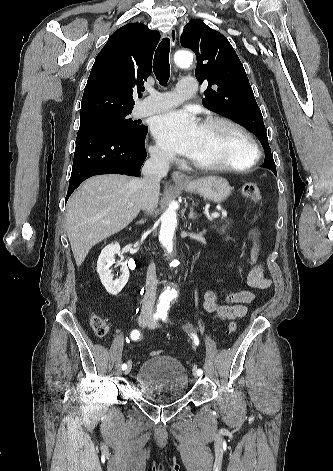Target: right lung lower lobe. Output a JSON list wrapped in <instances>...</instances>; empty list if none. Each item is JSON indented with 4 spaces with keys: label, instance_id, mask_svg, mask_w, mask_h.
Listing matches in <instances>:
<instances>
[{
    "label": "right lung lower lobe",
    "instance_id": "right-lung-lower-lobe-1",
    "mask_svg": "<svg viewBox=\"0 0 333 471\" xmlns=\"http://www.w3.org/2000/svg\"><path fill=\"white\" fill-rule=\"evenodd\" d=\"M147 132L148 127L138 137L109 129L78 132L65 200H68L71 193L85 179L94 175L113 173L140 176V168L147 155L145 150Z\"/></svg>",
    "mask_w": 333,
    "mask_h": 471
}]
</instances>
